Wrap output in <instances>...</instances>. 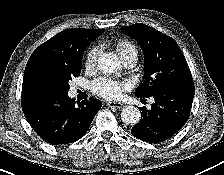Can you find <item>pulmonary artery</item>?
I'll return each mask as SVG.
<instances>
[{"label":"pulmonary artery","instance_id":"obj_1","mask_svg":"<svg viewBox=\"0 0 224 175\" xmlns=\"http://www.w3.org/2000/svg\"><path fill=\"white\" fill-rule=\"evenodd\" d=\"M122 62L126 68H132L135 66V64L137 62V55L129 54L122 58Z\"/></svg>","mask_w":224,"mask_h":175}]
</instances>
